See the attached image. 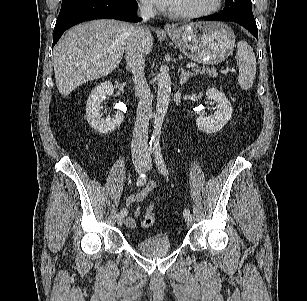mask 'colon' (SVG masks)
Masks as SVG:
<instances>
[{
	"instance_id": "5ec220e1",
	"label": "colon",
	"mask_w": 307,
	"mask_h": 301,
	"mask_svg": "<svg viewBox=\"0 0 307 301\" xmlns=\"http://www.w3.org/2000/svg\"><path fill=\"white\" fill-rule=\"evenodd\" d=\"M155 222V215L153 212V205L149 204L147 211L142 219V226L143 227H150Z\"/></svg>"
}]
</instances>
